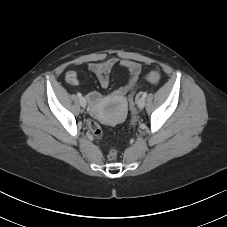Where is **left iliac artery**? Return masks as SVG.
<instances>
[{"label":"left iliac artery","instance_id":"obj_1","mask_svg":"<svg viewBox=\"0 0 227 227\" xmlns=\"http://www.w3.org/2000/svg\"><path fill=\"white\" fill-rule=\"evenodd\" d=\"M146 96H147V92H144V93L142 94V97L145 98Z\"/></svg>","mask_w":227,"mask_h":227}]
</instances>
